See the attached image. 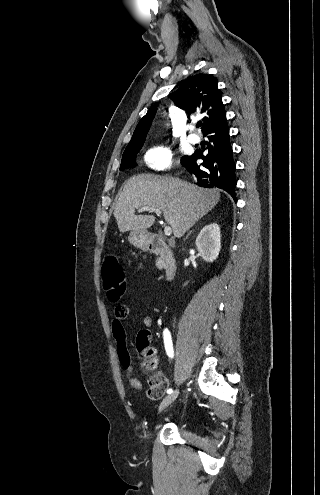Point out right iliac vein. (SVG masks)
Segmentation results:
<instances>
[{
  "label": "right iliac vein",
  "instance_id": "1",
  "mask_svg": "<svg viewBox=\"0 0 320 495\" xmlns=\"http://www.w3.org/2000/svg\"><path fill=\"white\" fill-rule=\"evenodd\" d=\"M179 395V391L175 390L171 394H168L161 402L158 412L161 413L165 408H167L171 403H173Z\"/></svg>",
  "mask_w": 320,
  "mask_h": 495
}]
</instances>
